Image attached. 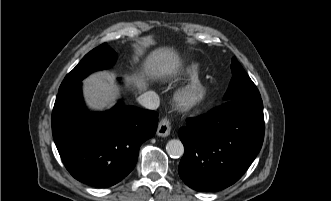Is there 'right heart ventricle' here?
Here are the masks:
<instances>
[{
  "instance_id": "obj_1",
  "label": "right heart ventricle",
  "mask_w": 331,
  "mask_h": 201,
  "mask_svg": "<svg viewBox=\"0 0 331 201\" xmlns=\"http://www.w3.org/2000/svg\"><path fill=\"white\" fill-rule=\"evenodd\" d=\"M192 72V68H190L189 70H188V73H191Z\"/></svg>"
}]
</instances>
